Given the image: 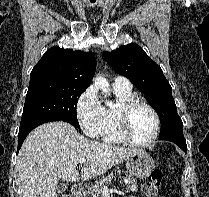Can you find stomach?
<instances>
[{"instance_id": "1", "label": "stomach", "mask_w": 209, "mask_h": 197, "mask_svg": "<svg viewBox=\"0 0 209 197\" xmlns=\"http://www.w3.org/2000/svg\"><path fill=\"white\" fill-rule=\"evenodd\" d=\"M126 168L132 176L148 178L155 168V163L147 152L138 150L126 159Z\"/></svg>"}]
</instances>
